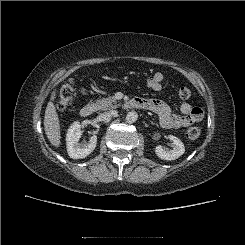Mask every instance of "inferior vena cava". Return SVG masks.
<instances>
[{"label": "inferior vena cava", "instance_id": "inferior-vena-cava-1", "mask_svg": "<svg viewBox=\"0 0 245 245\" xmlns=\"http://www.w3.org/2000/svg\"><path fill=\"white\" fill-rule=\"evenodd\" d=\"M117 114V111H108V112H104L102 114L99 115V119L101 121H105L110 119L111 117H114Z\"/></svg>", "mask_w": 245, "mask_h": 245}]
</instances>
